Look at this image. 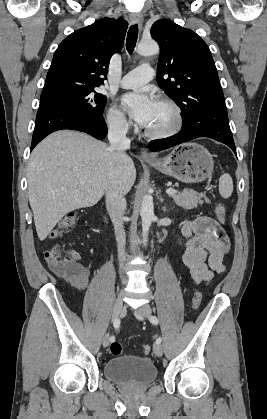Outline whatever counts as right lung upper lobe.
<instances>
[{
  "label": "right lung upper lobe",
  "mask_w": 267,
  "mask_h": 419,
  "mask_svg": "<svg viewBox=\"0 0 267 419\" xmlns=\"http://www.w3.org/2000/svg\"><path fill=\"white\" fill-rule=\"evenodd\" d=\"M127 21L102 18L74 31L58 46L42 93L103 84L111 56L122 48Z\"/></svg>",
  "instance_id": "1"
}]
</instances>
